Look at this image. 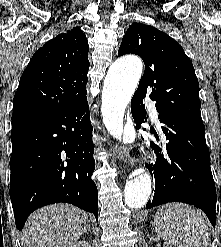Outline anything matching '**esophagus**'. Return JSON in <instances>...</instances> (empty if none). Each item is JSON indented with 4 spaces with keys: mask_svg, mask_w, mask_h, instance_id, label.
Wrapping results in <instances>:
<instances>
[{
    "mask_svg": "<svg viewBox=\"0 0 221 247\" xmlns=\"http://www.w3.org/2000/svg\"><path fill=\"white\" fill-rule=\"evenodd\" d=\"M114 151L120 160L127 162V158H126L127 154L122 146L115 145Z\"/></svg>",
    "mask_w": 221,
    "mask_h": 247,
    "instance_id": "1",
    "label": "esophagus"
}]
</instances>
